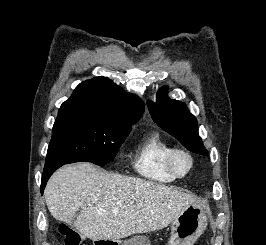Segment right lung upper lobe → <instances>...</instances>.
I'll list each match as a JSON object with an SVG mask.
<instances>
[{"instance_id": "cb5924a9", "label": "right lung upper lobe", "mask_w": 266, "mask_h": 245, "mask_svg": "<svg viewBox=\"0 0 266 245\" xmlns=\"http://www.w3.org/2000/svg\"><path fill=\"white\" fill-rule=\"evenodd\" d=\"M144 112L143 101L124 92L112 80L97 77L79 84L58 116L72 113L98 114L117 122L136 123Z\"/></svg>"}]
</instances>
